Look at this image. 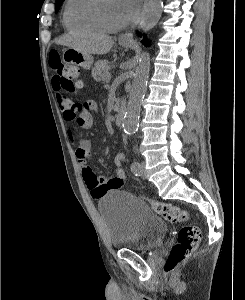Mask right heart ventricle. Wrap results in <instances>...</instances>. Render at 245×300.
<instances>
[{"mask_svg": "<svg viewBox=\"0 0 245 300\" xmlns=\"http://www.w3.org/2000/svg\"><path fill=\"white\" fill-rule=\"evenodd\" d=\"M95 0H67L63 22L71 32L98 33L101 29L93 18Z\"/></svg>", "mask_w": 245, "mask_h": 300, "instance_id": "1", "label": "right heart ventricle"}]
</instances>
